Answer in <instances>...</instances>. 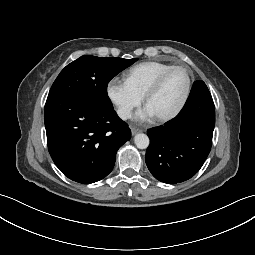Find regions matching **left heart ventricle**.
I'll return each instance as SVG.
<instances>
[{
    "label": "left heart ventricle",
    "instance_id": "left-heart-ventricle-1",
    "mask_svg": "<svg viewBox=\"0 0 255 255\" xmlns=\"http://www.w3.org/2000/svg\"><path fill=\"white\" fill-rule=\"evenodd\" d=\"M186 87L187 75L185 71L177 69L166 78L161 89L150 98L147 105L155 116L168 114L178 105Z\"/></svg>",
    "mask_w": 255,
    "mask_h": 255
}]
</instances>
